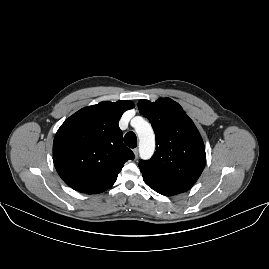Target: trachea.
Here are the masks:
<instances>
[{
	"label": "trachea",
	"instance_id": "1",
	"mask_svg": "<svg viewBox=\"0 0 269 269\" xmlns=\"http://www.w3.org/2000/svg\"><path fill=\"white\" fill-rule=\"evenodd\" d=\"M124 142L125 144L130 148H135L137 146V137L134 132H128L124 136Z\"/></svg>",
	"mask_w": 269,
	"mask_h": 269
}]
</instances>
